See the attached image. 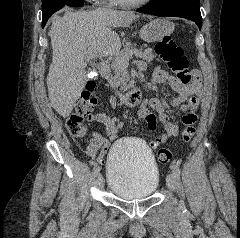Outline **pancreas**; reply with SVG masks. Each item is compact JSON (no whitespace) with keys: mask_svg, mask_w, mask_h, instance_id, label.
<instances>
[{"mask_svg":"<svg viewBox=\"0 0 240 238\" xmlns=\"http://www.w3.org/2000/svg\"><path fill=\"white\" fill-rule=\"evenodd\" d=\"M132 50L133 49L130 45H126L119 53H117L111 63L110 67L113 70V74L106 78L111 87H120L121 90L125 91L132 86L129 80V72L127 70L129 64L128 61L121 63L117 61V59H122L126 53ZM138 51L140 53V58L147 62H151L155 57L151 48H146L145 50L140 49Z\"/></svg>","mask_w":240,"mask_h":238,"instance_id":"cf45deb5","label":"pancreas"}]
</instances>
